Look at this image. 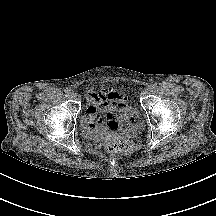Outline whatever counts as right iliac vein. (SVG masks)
<instances>
[{
	"mask_svg": "<svg viewBox=\"0 0 216 216\" xmlns=\"http://www.w3.org/2000/svg\"><path fill=\"white\" fill-rule=\"evenodd\" d=\"M69 97H70V98H76V97H77V93H75V92H70Z\"/></svg>",
	"mask_w": 216,
	"mask_h": 216,
	"instance_id": "1",
	"label": "right iliac vein"
}]
</instances>
